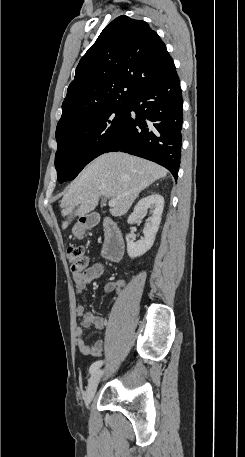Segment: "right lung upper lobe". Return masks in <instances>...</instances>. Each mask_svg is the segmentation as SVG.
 I'll use <instances>...</instances> for the list:
<instances>
[{
	"label": "right lung upper lobe",
	"instance_id": "right-lung-upper-lobe-1",
	"mask_svg": "<svg viewBox=\"0 0 245 457\" xmlns=\"http://www.w3.org/2000/svg\"><path fill=\"white\" fill-rule=\"evenodd\" d=\"M174 70L166 45L146 22L119 16L81 58L57 126L111 102L131 100L148 81Z\"/></svg>",
	"mask_w": 245,
	"mask_h": 457
}]
</instances>
